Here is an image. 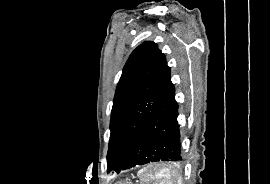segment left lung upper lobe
Wrapping results in <instances>:
<instances>
[{
  "instance_id": "1",
  "label": "left lung upper lobe",
  "mask_w": 270,
  "mask_h": 184,
  "mask_svg": "<svg viewBox=\"0 0 270 184\" xmlns=\"http://www.w3.org/2000/svg\"><path fill=\"white\" fill-rule=\"evenodd\" d=\"M170 67L154 42L130 55L116 88L110 121L107 171H118L130 148L172 87Z\"/></svg>"
}]
</instances>
